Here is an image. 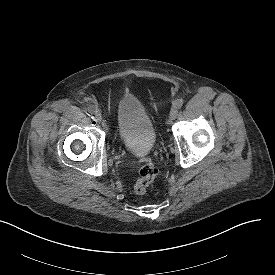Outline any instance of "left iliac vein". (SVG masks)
<instances>
[{
  "mask_svg": "<svg viewBox=\"0 0 275 275\" xmlns=\"http://www.w3.org/2000/svg\"><path fill=\"white\" fill-rule=\"evenodd\" d=\"M177 115H178V110H177V108L174 106V107H172V109H171V111H170L169 119L172 121V120L176 119Z\"/></svg>",
  "mask_w": 275,
  "mask_h": 275,
  "instance_id": "obj_1",
  "label": "left iliac vein"
}]
</instances>
